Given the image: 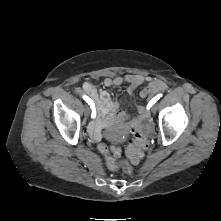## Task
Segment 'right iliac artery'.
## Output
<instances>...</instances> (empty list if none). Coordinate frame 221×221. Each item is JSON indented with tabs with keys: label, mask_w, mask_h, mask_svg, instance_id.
Wrapping results in <instances>:
<instances>
[{
	"label": "right iliac artery",
	"mask_w": 221,
	"mask_h": 221,
	"mask_svg": "<svg viewBox=\"0 0 221 221\" xmlns=\"http://www.w3.org/2000/svg\"><path fill=\"white\" fill-rule=\"evenodd\" d=\"M83 99L90 105V108L92 109L91 118L96 117L95 107L93 101L86 95L83 96Z\"/></svg>",
	"instance_id": "obj_1"
}]
</instances>
